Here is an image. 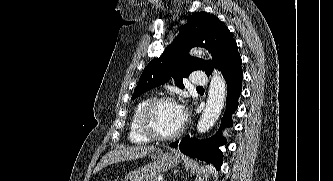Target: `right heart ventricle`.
I'll list each match as a JSON object with an SVG mask.
<instances>
[{"mask_svg":"<svg viewBox=\"0 0 333 181\" xmlns=\"http://www.w3.org/2000/svg\"><path fill=\"white\" fill-rule=\"evenodd\" d=\"M150 97L142 99L135 107L129 126V140L136 144H146L150 142V138L145 136L140 130L139 126V117L147 102L150 100Z\"/></svg>","mask_w":333,"mask_h":181,"instance_id":"1","label":"right heart ventricle"}]
</instances>
